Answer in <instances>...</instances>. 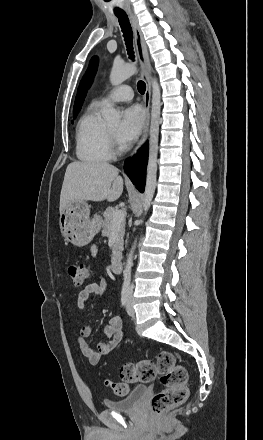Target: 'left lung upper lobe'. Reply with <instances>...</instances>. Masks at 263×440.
Returning a JSON list of instances; mask_svg holds the SVG:
<instances>
[{"instance_id": "obj_1", "label": "left lung upper lobe", "mask_w": 263, "mask_h": 440, "mask_svg": "<svg viewBox=\"0 0 263 440\" xmlns=\"http://www.w3.org/2000/svg\"><path fill=\"white\" fill-rule=\"evenodd\" d=\"M97 63H98L97 57H93L90 61L89 69L80 83L78 93L76 96V100H75V105H74V109H75L74 116H76L77 112H79V110L82 106L84 97L86 95L87 89L93 81V77H94L96 69H97Z\"/></svg>"}]
</instances>
